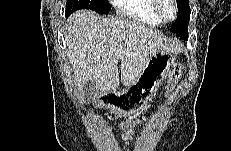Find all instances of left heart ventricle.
<instances>
[{
  "label": "left heart ventricle",
  "mask_w": 231,
  "mask_h": 151,
  "mask_svg": "<svg viewBox=\"0 0 231 151\" xmlns=\"http://www.w3.org/2000/svg\"><path fill=\"white\" fill-rule=\"evenodd\" d=\"M163 13L166 16H171L173 13V9L169 3H166V5L163 8Z\"/></svg>",
  "instance_id": "obj_1"
}]
</instances>
